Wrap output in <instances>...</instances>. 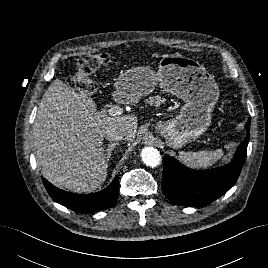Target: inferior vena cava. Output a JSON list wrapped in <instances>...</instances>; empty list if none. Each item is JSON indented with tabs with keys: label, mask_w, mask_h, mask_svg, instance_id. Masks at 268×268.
<instances>
[{
	"label": "inferior vena cava",
	"mask_w": 268,
	"mask_h": 268,
	"mask_svg": "<svg viewBox=\"0 0 268 268\" xmlns=\"http://www.w3.org/2000/svg\"><path fill=\"white\" fill-rule=\"evenodd\" d=\"M125 132L120 129V128H115V127H110V128H107L104 132V137L107 139V140H110V141H118V140H121L123 139V137L125 136Z\"/></svg>",
	"instance_id": "obj_1"
}]
</instances>
